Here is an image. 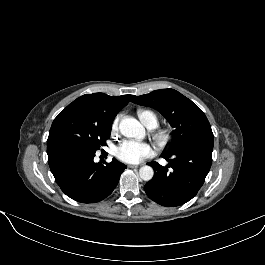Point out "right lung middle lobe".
Returning <instances> with one entry per match:
<instances>
[{
    "instance_id": "dd1d6c3e",
    "label": "right lung middle lobe",
    "mask_w": 265,
    "mask_h": 265,
    "mask_svg": "<svg viewBox=\"0 0 265 265\" xmlns=\"http://www.w3.org/2000/svg\"><path fill=\"white\" fill-rule=\"evenodd\" d=\"M112 124L76 113L59 114L52 123L47 145L71 142L98 150L106 145Z\"/></svg>"
}]
</instances>
